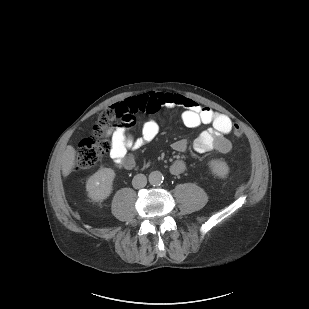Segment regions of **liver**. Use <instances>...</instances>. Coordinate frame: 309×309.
I'll list each match as a JSON object with an SVG mask.
<instances>
[{"label":"liver","mask_w":309,"mask_h":309,"mask_svg":"<svg viewBox=\"0 0 309 309\" xmlns=\"http://www.w3.org/2000/svg\"><path fill=\"white\" fill-rule=\"evenodd\" d=\"M75 162H76V151L71 145H68L62 155L61 160L62 174L64 177L68 176L72 172L75 166Z\"/></svg>","instance_id":"6515ba94"}]
</instances>
